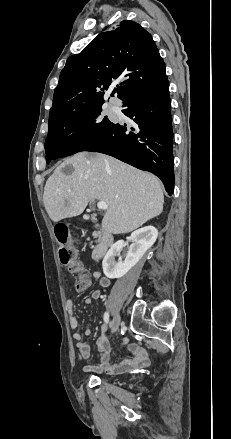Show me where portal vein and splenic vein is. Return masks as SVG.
Here are the masks:
<instances>
[{
	"label": "portal vein and splenic vein",
	"instance_id": "obj_1",
	"mask_svg": "<svg viewBox=\"0 0 231 439\" xmlns=\"http://www.w3.org/2000/svg\"><path fill=\"white\" fill-rule=\"evenodd\" d=\"M97 207L100 210H107L108 209V205L105 202H103V201H99L97 203Z\"/></svg>",
	"mask_w": 231,
	"mask_h": 439
}]
</instances>
